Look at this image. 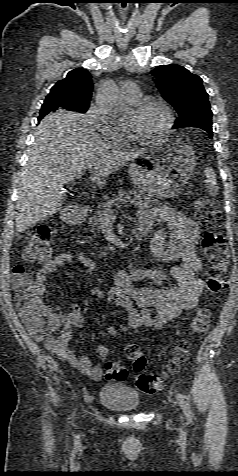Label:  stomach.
Here are the masks:
<instances>
[{
	"instance_id": "1",
	"label": "stomach",
	"mask_w": 238,
	"mask_h": 476,
	"mask_svg": "<svg viewBox=\"0 0 238 476\" xmlns=\"http://www.w3.org/2000/svg\"><path fill=\"white\" fill-rule=\"evenodd\" d=\"M132 163L129 176L147 197L169 198L178 194L193 173V148L178 133L154 142Z\"/></svg>"
}]
</instances>
